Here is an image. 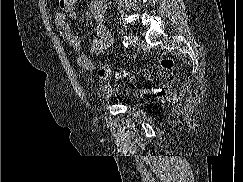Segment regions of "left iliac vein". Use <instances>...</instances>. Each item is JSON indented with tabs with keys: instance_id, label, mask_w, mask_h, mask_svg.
Segmentation results:
<instances>
[{
	"instance_id": "4c4485c4",
	"label": "left iliac vein",
	"mask_w": 243,
	"mask_h": 182,
	"mask_svg": "<svg viewBox=\"0 0 243 182\" xmlns=\"http://www.w3.org/2000/svg\"><path fill=\"white\" fill-rule=\"evenodd\" d=\"M129 42H130V44H132V45H137L138 44V42H139V39H138V36H136V35H130L129 36Z\"/></svg>"
}]
</instances>
